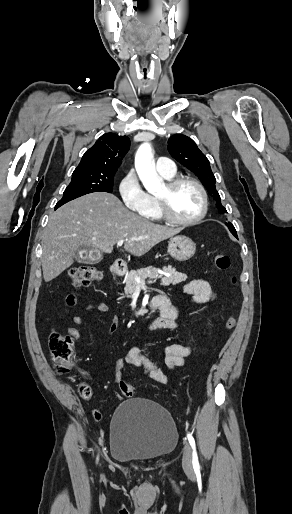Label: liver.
<instances>
[{
  "instance_id": "liver-1",
  "label": "liver",
  "mask_w": 292,
  "mask_h": 514,
  "mask_svg": "<svg viewBox=\"0 0 292 514\" xmlns=\"http://www.w3.org/2000/svg\"><path fill=\"white\" fill-rule=\"evenodd\" d=\"M181 230L152 224L129 212L113 194H86L50 214L42 238L43 278L50 282L70 268L74 252L81 246L111 254L114 244L125 240L124 250L143 256Z\"/></svg>"
}]
</instances>
